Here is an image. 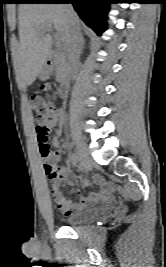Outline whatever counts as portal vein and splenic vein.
Wrapping results in <instances>:
<instances>
[{
    "label": "portal vein and splenic vein",
    "mask_w": 166,
    "mask_h": 267,
    "mask_svg": "<svg viewBox=\"0 0 166 267\" xmlns=\"http://www.w3.org/2000/svg\"><path fill=\"white\" fill-rule=\"evenodd\" d=\"M49 31H52V28L51 27H47L46 29H44L43 32H49ZM55 37H56V40H57V44L58 45H61L62 39H61L59 33H56Z\"/></svg>",
    "instance_id": "obj_1"
}]
</instances>
